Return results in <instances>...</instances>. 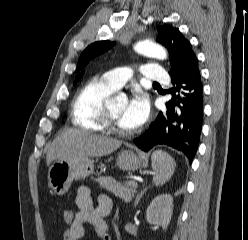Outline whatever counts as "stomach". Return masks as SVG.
Instances as JSON below:
<instances>
[{"label": "stomach", "mask_w": 248, "mask_h": 240, "mask_svg": "<svg viewBox=\"0 0 248 240\" xmlns=\"http://www.w3.org/2000/svg\"><path fill=\"white\" fill-rule=\"evenodd\" d=\"M148 162V155L125 150L118 154L117 165L125 171H135ZM94 171V160L89 157L57 160L48 171V184L57 195L65 194L74 179H84Z\"/></svg>", "instance_id": "obj_1"}]
</instances>
